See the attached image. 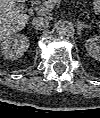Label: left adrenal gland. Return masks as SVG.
I'll list each match as a JSON object with an SVG mask.
<instances>
[{"label": "left adrenal gland", "instance_id": "a2214340", "mask_svg": "<svg viewBox=\"0 0 100 118\" xmlns=\"http://www.w3.org/2000/svg\"><path fill=\"white\" fill-rule=\"evenodd\" d=\"M77 25H78L77 26L78 33H80L81 30H83V28H88L89 27V25H87V24H85L83 22H80V21L77 22Z\"/></svg>", "mask_w": 100, "mask_h": 118}]
</instances>
